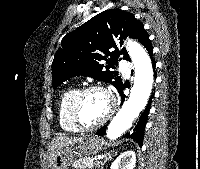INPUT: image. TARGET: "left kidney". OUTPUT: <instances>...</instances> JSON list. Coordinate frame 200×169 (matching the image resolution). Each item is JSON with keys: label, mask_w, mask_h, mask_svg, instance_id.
<instances>
[{"label": "left kidney", "mask_w": 200, "mask_h": 169, "mask_svg": "<svg viewBox=\"0 0 200 169\" xmlns=\"http://www.w3.org/2000/svg\"><path fill=\"white\" fill-rule=\"evenodd\" d=\"M136 155L132 150H127L120 154L111 164L110 169H134Z\"/></svg>", "instance_id": "1"}]
</instances>
